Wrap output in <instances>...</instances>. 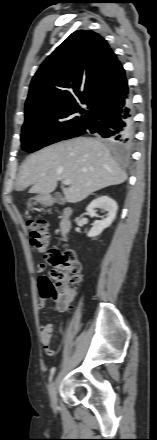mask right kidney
Wrapping results in <instances>:
<instances>
[{
	"instance_id": "1",
	"label": "right kidney",
	"mask_w": 157,
	"mask_h": 440,
	"mask_svg": "<svg viewBox=\"0 0 157 440\" xmlns=\"http://www.w3.org/2000/svg\"><path fill=\"white\" fill-rule=\"evenodd\" d=\"M96 208L103 209L104 211H107L108 214L102 220L94 221L93 227L87 234L88 237H96L100 235L104 229L108 228L115 219L118 207L112 198L104 195L93 200L87 206L86 211L91 217H93L95 215Z\"/></svg>"
}]
</instances>
